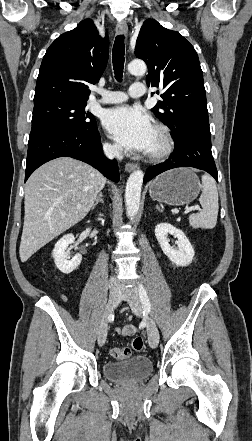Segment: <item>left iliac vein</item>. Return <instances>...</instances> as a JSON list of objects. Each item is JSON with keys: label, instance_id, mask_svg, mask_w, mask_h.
<instances>
[{"label": "left iliac vein", "instance_id": "obj_1", "mask_svg": "<svg viewBox=\"0 0 252 441\" xmlns=\"http://www.w3.org/2000/svg\"><path fill=\"white\" fill-rule=\"evenodd\" d=\"M126 294H127V292L125 291L124 296H126ZM129 294L131 295L130 307H131L132 312L136 316H141L142 305L140 302L138 291L136 289H132V290H130ZM146 327H147L149 345L152 348H156L159 343V332H158V328L152 318H150V317L146 318Z\"/></svg>", "mask_w": 252, "mask_h": 441}]
</instances>
